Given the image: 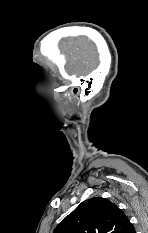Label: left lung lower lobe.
Masks as SVG:
<instances>
[{"label":"left lung lower lobe","mask_w":148,"mask_h":233,"mask_svg":"<svg viewBox=\"0 0 148 233\" xmlns=\"http://www.w3.org/2000/svg\"><path fill=\"white\" fill-rule=\"evenodd\" d=\"M129 233H135L134 227L129 231Z\"/></svg>","instance_id":"obj_1"}]
</instances>
